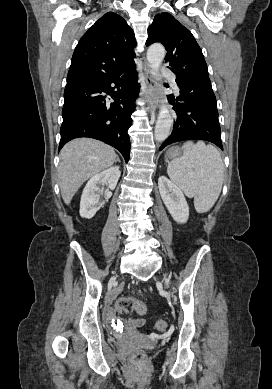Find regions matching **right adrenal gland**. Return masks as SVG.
<instances>
[{
	"mask_svg": "<svg viewBox=\"0 0 272 389\" xmlns=\"http://www.w3.org/2000/svg\"><path fill=\"white\" fill-rule=\"evenodd\" d=\"M117 161L120 162V159H119L118 157L116 158V162H117Z\"/></svg>",
	"mask_w": 272,
	"mask_h": 389,
	"instance_id": "2a0ac1e0",
	"label": "right adrenal gland"
}]
</instances>
